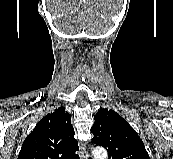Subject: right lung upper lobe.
<instances>
[{
    "label": "right lung upper lobe",
    "mask_w": 173,
    "mask_h": 159,
    "mask_svg": "<svg viewBox=\"0 0 173 159\" xmlns=\"http://www.w3.org/2000/svg\"><path fill=\"white\" fill-rule=\"evenodd\" d=\"M71 117L64 107L46 115L24 140L18 159H79Z\"/></svg>",
    "instance_id": "right-lung-upper-lobe-1"
}]
</instances>
